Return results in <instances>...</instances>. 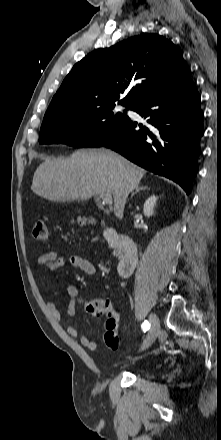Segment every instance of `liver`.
Wrapping results in <instances>:
<instances>
[{
  "mask_svg": "<svg viewBox=\"0 0 221 440\" xmlns=\"http://www.w3.org/2000/svg\"><path fill=\"white\" fill-rule=\"evenodd\" d=\"M146 171L106 150L75 151L68 159H46L35 171L32 191L49 201L89 200L100 193L114 198V213L123 217L126 199Z\"/></svg>",
  "mask_w": 221,
  "mask_h": 440,
  "instance_id": "liver-1",
  "label": "liver"
}]
</instances>
